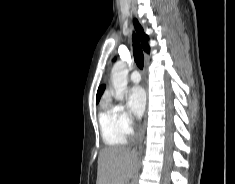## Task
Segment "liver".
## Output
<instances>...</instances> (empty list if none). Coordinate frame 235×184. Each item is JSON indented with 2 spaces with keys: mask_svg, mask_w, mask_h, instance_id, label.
Here are the masks:
<instances>
[{
  "mask_svg": "<svg viewBox=\"0 0 235 184\" xmlns=\"http://www.w3.org/2000/svg\"><path fill=\"white\" fill-rule=\"evenodd\" d=\"M136 164L131 148H103L98 156L97 184H128Z\"/></svg>",
  "mask_w": 235,
  "mask_h": 184,
  "instance_id": "obj_1",
  "label": "liver"
}]
</instances>
